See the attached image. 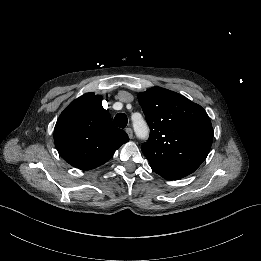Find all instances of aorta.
I'll return each mask as SVG.
<instances>
[{"mask_svg": "<svg viewBox=\"0 0 261 261\" xmlns=\"http://www.w3.org/2000/svg\"><path fill=\"white\" fill-rule=\"evenodd\" d=\"M140 116V119H134L132 121L133 128L135 130L136 136L141 139H145L148 136L149 128L145 121L142 119L140 113H136Z\"/></svg>", "mask_w": 261, "mask_h": 261, "instance_id": "1", "label": "aorta"}]
</instances>
